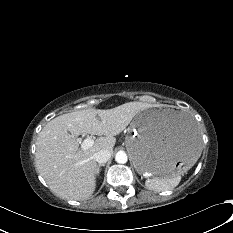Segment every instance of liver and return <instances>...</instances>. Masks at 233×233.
Listing matches in <instances>:
<instances>
[{"instance_id": "6515ba94", "label": "liver", "mask_w": 233, "mask_h": 233, "mask_svg": "<svg viewBox=\"0 0 233 233\" xmlns=\"http://www.w3.org/2000/svg\"><path fill=\"white\" fill-rule=\"evenodd\" d=\"M153 105L128 102L112 109H84L63 114L51 120L36 142L35 165L50 190L58 197L85 200L96 188L97 170L94 153L109 150L120 134L142 110ZM99 116V118H97ZM69 132L72 133L70 135ZM99 137L87 150L79 149L76 136Z\"/></svg>"}]
</instances>
